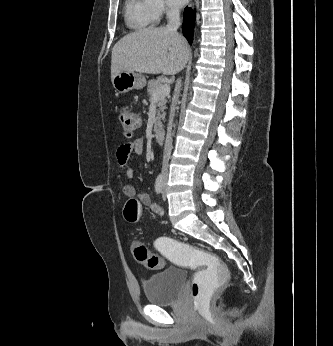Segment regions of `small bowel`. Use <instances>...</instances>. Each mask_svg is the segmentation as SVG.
Returning a JSON list of instances; mask_svg holds the SVG:
<instances>
[{
    "label": "small bowel",
    "instance_id": "small-bowel-1",
    "mask_svg": "<svg viewBox=\"0 0 333 346\" xmlns=\"http://www.w3.org/2000/svg\"><path fill=\"white\" fill-rule=\"evenodd\" d=\"M144 151V140L137 138L130 143L121 144L116 152V158L118 163L125 168V176L130 179L135 175V169L128 166L129 158L131 154L140 155ZM123 193L128 197H137L140 203L144 206H148L152 212L161 215L162 209L157 204L151 202L150 196L138 191L134 184L126 183L123 186Z\"/></svg>",
    "mask_w": 333,
    "mask_h": 346
}]
</instances>
